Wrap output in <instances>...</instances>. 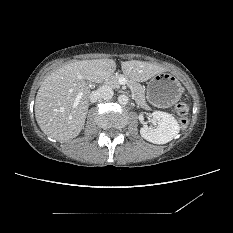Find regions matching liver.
<instances>
[{"label":"liver","instance_id":"liver-1","mask_svg":"<svg viewBox=\"0 0 233 233\" xmlns=\"http://www.w3.org/2000/svg\"><path fill=\"white\" fill-rule=\"evenodd\" d=\"M112 59L82 60L68 63L52 72L42 82L35 100V117L40 129L49 137L66 141L77 137L84 127L89 107L90 89L86 80L100 83L116 70ZM124 75L144 82L166 69L148 62H121ZM79 93L82 97L74 107Z\"/></svg>","mask_w":233,"mask_h":233}]
</instances>
